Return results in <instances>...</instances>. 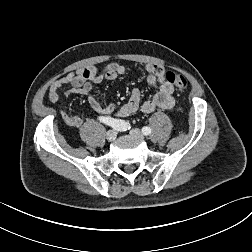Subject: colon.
Here are the masks:
<instances>
[{
    "label": "colon",
    "mask_w": 252,
    "mask_h": 252,
    "mask_svg": "<svg viewBox=\"0 0 252 252\" xmlns=\"http://www.w3.org/2000/svg\"><path fill=\"white\" fill-rule=\"evenodd\" d=\"M165 78L168 82H170L173 86H175L176 88L180 89V90H184L187 87V80L186 78L176 72H167L165 73ZM110 108L112 111L114 112H124L127 114H132L134 112L137 111V107L136 106H125V105H117L115 103H113L112 105H110Z\"/></svg>",
    "instance_id": "obj_1"
}]
</instances>
